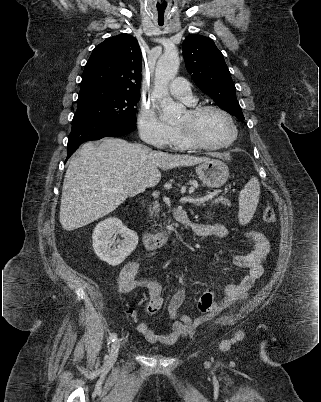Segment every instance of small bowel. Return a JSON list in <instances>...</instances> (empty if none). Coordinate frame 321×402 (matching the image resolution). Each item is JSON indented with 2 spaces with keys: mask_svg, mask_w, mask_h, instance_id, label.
<instances>
[{
  "mask_svg": "<svg viewBox=\"0 0 321 402\" xmlns=\"http://www.w3.org/2000/svg\"><path fill=\"white\" fill-rule=\"evenodd\" d=\"M184 225L199 237L224 238L227 229L220 223L204 224L185 219ZM246 237L252 242V250L247 254H236L232 258L233 264L245 269L247 272L237 284H227L223 287V296L215 300V286L208 288L198 300L199 305L211 301V307L203 315L192 319L188 315L180 313L179 309L185 300V290L180 286L171 297L168 304V313L173 320V330L168 334L155 332L147 323L139 322L137 331L150 343H158L165 346L172 345L180 338L189 335L198 325L207 322L239 300L246 297L254 283L262 276L263 263L270 251V241L263 230H250ZM139 264L127 263L118 277V288L121 293H129L139 287H145L149 293V300L145 303V312L154 315L161 309L164 299L162 287L155 281L143 280L138 277Z\"/></svg>",
  "mask_w": 321,
  "mask_h": 402,
  "instance_id": "c3829d8e",
  "label": "small bowel"
}]
</instances>
